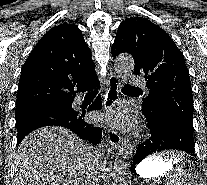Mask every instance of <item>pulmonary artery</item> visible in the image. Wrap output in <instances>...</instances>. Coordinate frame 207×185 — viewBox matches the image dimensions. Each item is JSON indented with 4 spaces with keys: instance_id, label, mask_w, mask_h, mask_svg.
Returning <instances> with one entry per match:
<instances>
[{
    "instance_id": "pulmonary-artery-1",
    "label": "pulmonary artery",
    "mask_w": 207,
    "mask_h": 185,
    "mask_svg": "<svg viewBox=\"0 0 207 185\" xmlns=\"http://www.w3.org/2000/svg\"><path fill=\"white\" fill-rule=\"evenodd\" d=\"M130 86H144L141 77H129Z\"/></svg>"
}]
</instances>
